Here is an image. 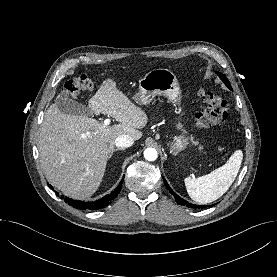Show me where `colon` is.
Masks as SVG:
<instances>
[{
  "label": "colon",
  "instance_id": "obj_1",
  "mask_svg": "<svg viewBox=\"0 0 277 277\" xmlns=\"http://www.w3.org/2000/svg\"><path fill=\"white\" fill-rule=\"evenodd\" d=\"M92 88L93 82L85 74L70 78L64 85V91L70 97H76L80 91ZM198 95L203 103V107L194 115L192 121L193 127L206 130L214 125L223 123L228 113L227 101L219 94L206 89H200Z\"/></svg>",
  "mask_w": 277,
  "mask_h": 277
}]
</instances>
